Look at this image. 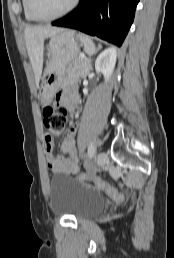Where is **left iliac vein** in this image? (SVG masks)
<instances>
[{
	"label": "left iliac vein",
	"mask_w": 174,
	"mask_h": 258,
	"mask_svg": "<svg viewBox=\"0 0 174 258\" xmlns=\"http://www.w3.org/2000/svg\"><path fill=\"white\" fill-rule=\"evenodd\" d=\"M107 162V154L105 152H100L98 155H97V164L99 166H104Z\"/></svg>",
	"instance_id": "1"
}]
</instances>
